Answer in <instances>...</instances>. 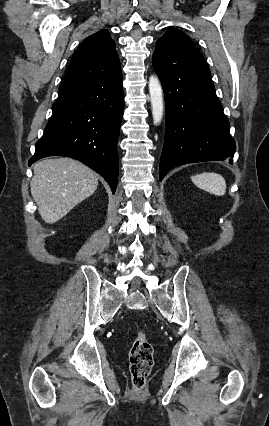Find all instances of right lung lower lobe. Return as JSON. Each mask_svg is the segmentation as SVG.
Wrapping results in <instances>:
<instances>
[{"instance_id":"1","label":"right lung lower lobe","mask_w":269,"mask_h":426,"mask_svg":"<svg viewBox=\"0 0 269 426\" xmlns=\"http://www.w3.org/2000/svg\"><path fill=\"white\" fill-rule=\"evenodd\" d=\"M52 111L29 166L47 156L71 157L103 176L114 194L118 181L117 142L124 111L122 71L62 84Z\"/></svg>"}]
</instances>
